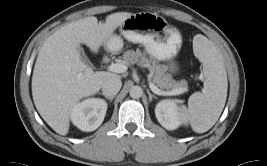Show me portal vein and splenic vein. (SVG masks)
I'll return each mask as SVG.
<instances>
[{
    "label": "portal vein and splenic vein",
    "instance_id": "1",
    "mask_svg": "<svg viewBox=\"0 0 267 166\" xmlns=\"http://www.w3.org/2000/svg\"><path fill=\"white\" fill-rule=\"evenodd\" d=\"M108 70L115 73H124L127 71V66L122 63H112L108 67ZM150 89L157 95L162 96H171V95H178L185 91H187V88H179L172 91H163L156 87L152 82L149 83Z\"/></svg>",
    "mask_w": 267,
    "mask_h": 166
}]
</instances>
